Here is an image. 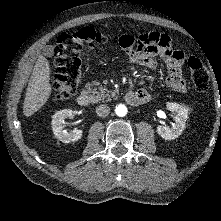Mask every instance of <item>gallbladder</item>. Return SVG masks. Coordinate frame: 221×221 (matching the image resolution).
Segmentation results:
<instances>
[{
  "mask_svg": "<svg viewBox=\"0 0 221 221\" xmlns=\"http://www.w3.org/2000/svg\"><path fill=\"white\" fill-rule=\"evenodd\" d=\"M44 54L47 56H52L53 55V47L52 46H47L44 49Z\"/></svg>",
  "mask_w": 221,
  "mask_h": 221,
  "instance_id": "gallbladder-1",
  "label": "gallbladder"
}]
</instances>
